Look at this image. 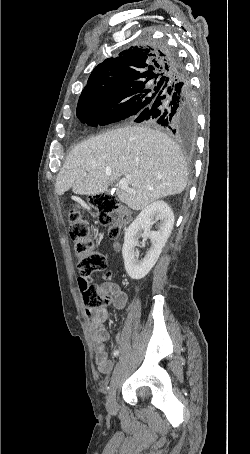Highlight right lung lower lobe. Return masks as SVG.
Returning <instances> with one entry per match:
<instances>
[{"label":"right lung lower lobe","instance_id":"right-lung-lower-lobe-1","mask_svg":"<svg viewBox=\"0 0 250 454\" xmlns=\"http://www.w3.org/2000/svg\"><path fill=\"white\" fill-rule=\"evenodd\" d=\"M171 69L154 100L136 115L135 122L160 125L185 141L196 130V113L187 72L178 56L165 48Z\"/></svg>","mask_w":250,"mask_h":454}]
</instances>
